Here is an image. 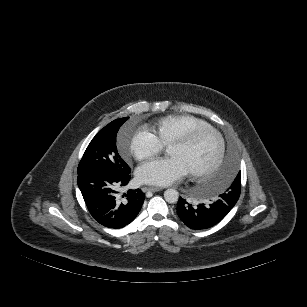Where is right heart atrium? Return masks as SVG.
Masks as SVG:
<instances>
[{"mask_svg":"<svg viewBox=\"0 0 307 307\" xmlns=\"http://www.w3.org/2000/svg\"><path fill=\"white\" fill-rule=\"evenodd\" d=\"M128 149L136 159H145L158 154L163 144L151 130L140 128L126 141Z\"/></svg>","mask_w":307,"mask_h":307,"instance_id":"right-heart-atrium-1","label":"right heart atrium"}]
</instances>
